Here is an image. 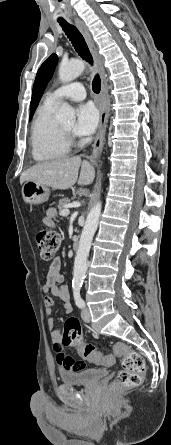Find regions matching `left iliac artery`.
Listing matches in <instances>:
<instances>
[{
  "label": "left iliac artery",
  "mask_w": 171,
  "mask_h": 445,
  "mask_svg": "<svg viewBox=\"0 0 171 445\" xmlns=\"http://www.w3.org/2000/svg\"><path fill=\"white\" fill-rule=\"evenodd\" d=\"M80 289H81V285L73 286V296H74L76 305L79 308H83L85 306V303H84V300L81 298Z\"/></svg>",
  "instance_id": "44dca946"
}]
</instances>
